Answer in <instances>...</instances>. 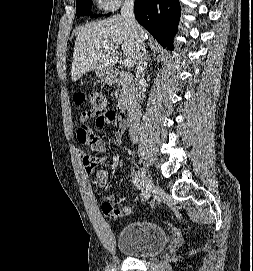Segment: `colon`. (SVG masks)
<instances>
[{
  "instance_id": "5ec220e1",
  "label": "colon",
  "mask_w": 253,
  "mask_h": 271,
  "mask_svg": "<svg viewBox=\"0 0 253 271\" xmlns=\"http://www.w3.org/2000/svg\"><path fill=\"white\" fill-rule=\"evenodd\" d=\"M89 101L92 107L91 113L95 115H102L104 114L107 119L114 121L115 120V113L113 111H105L106 107V98L101 93H91L89 96ZM87 99V96L83 93H79L75 96V102L80 105ZM103 206L108 207V204H104Z\"/></svg>"
}]
</instances>
